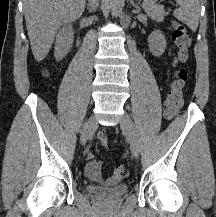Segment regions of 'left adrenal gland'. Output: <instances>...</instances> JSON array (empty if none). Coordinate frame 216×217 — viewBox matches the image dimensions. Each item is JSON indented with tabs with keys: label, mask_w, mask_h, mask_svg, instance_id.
Returning a JSON list of instances; mask_svg holds the SVG:
<instances>
[{
	"label": "left adrenal gland",
	"mask_w": 216,
	"mask_h": 217,
	"mask_svg": "<svg viewBox=\"0 0 216 217\" xmlns=\"http://www.w3.org/2000/svg\"><path fill=\"white\" fill-rule=\"evenodd\" d=\"M130 3L133 5L134 8L137 9V11H140V10H141V8L139 7V5L136 4L133 0H130Z\"/></svg>",
	"instance_id": "obj_1"
}]
</instances>
